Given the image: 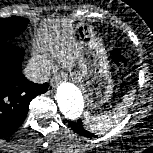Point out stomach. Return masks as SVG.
I'll use <instances>...</instances> for the list:
<instances>
[{"mask_svg":"<svg viewBox=\"0 0 153 153\" xmlns=\"http://www.w3.org/2000/svg\"><path fill=\"white\" fill-rule=\"evenodd\" d=\"M73 39L78 51L79 71L76 79L84 93L87 106L95 109L108 102L113 94L107 52L90 24L74 25Z\"/></svg>","mask_w":153,"mask_h":153,"instance_id":"0dacf381","label":"stomach"}]
</instances>
